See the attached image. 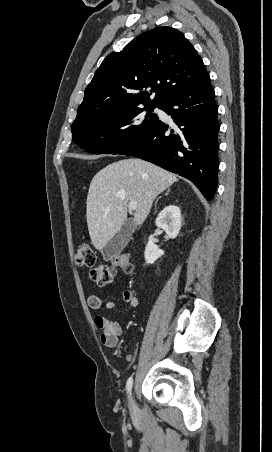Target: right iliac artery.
Listing matches in <instances>:
<instances>
[{
	"label": "right iliac artery",
	"instance_id": "right-iliac-artery-1",
	"mask_svg": "<svg viewBox=\"0 0 272 452\" xmlns=\"http://www.w3.org/2000/svg\"><path fill=\"white\" fill-rule=\"evenodd\" d=\"M132 385H133V378H132V377H129V379L127 380V385H126V388H127V392H128V393H130V391H131V389H132Z\"/></svg>",
	"mask_w": 272,
	"mask_h": 452
}]
</instances>
